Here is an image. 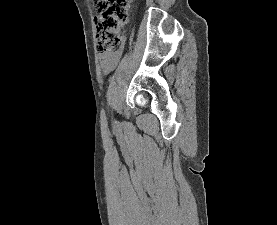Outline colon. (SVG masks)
<instances>
[{
    "mask_svg": "<svg viewBox=\"0 0 277 225\" xmlns=\"http://www.w3.org/2000/svg\"><path fill=\"white\" fill-rule=\"evenodd\" d=\"M131 0H93L98 12L95 20L96 47L103 55H113L121 51L123 38L120 31L128 22Z\"/></svg>",
    "mask_w": 277,
    "mask_h": 225,
    "instance_id": "obj_1",
    "label": "colon"
}]
</instances>
